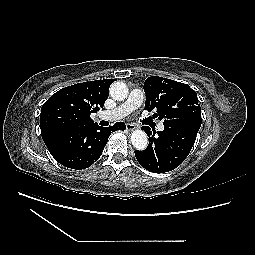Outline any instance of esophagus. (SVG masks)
I'll list each match as a JSON object with an SVG mask.
<instances>
[{"label":"esophagus","instance_id":"obj_1","mask_svg":"<svg viewBox=\"0 0 255 255\" xmlns=\"http://www.w3.org/2000/svg\"><path fill=\"white\" fill-rule=\"evenodd\" d=\"M135 128H136V125L133 124V123H127V124H126V129H127L128 131H132V130H134Z\"/></svg>","mask_w":255,"mask_h":255}]
</instances>
